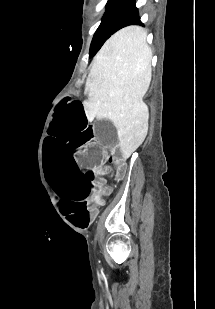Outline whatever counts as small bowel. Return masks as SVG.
I'll return each instance as SVG.
<instances>
[{"instance_id": "small-bowel-1", "label": "small bowel", "mask_w": 215, "mask_h": 309, "mask_svg": "<svg viewBox=\"0 0 215 309\" xmlns=\"http://www.w3.org/2000/svg\"><path fill=\"white\" fill-rule=\"evenodd\" d=\"M97 187H98V196L106 195L109 193V190L104 188L102 182H98Z\"/></svg>"}]
</instances>
